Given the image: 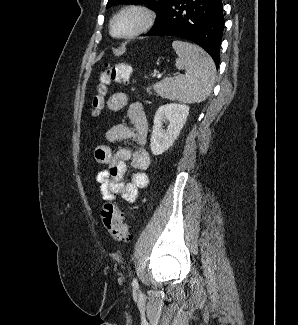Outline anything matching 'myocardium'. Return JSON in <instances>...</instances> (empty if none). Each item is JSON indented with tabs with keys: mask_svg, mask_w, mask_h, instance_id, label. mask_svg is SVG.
<instances>
[{
	"mask_svg": "<svg viewBox=\"0 0 298 325\" xmlns=\"http://www.w3.org/2000/svg\"><path fill=\"white\" fill-rule=\"evenodd\" d=\"M125 18H132L135 21L134 29L128 34H117L116 26L117 24ZM149 17L148 15L141 9L138 8H129L121 11L116 15L114 21L111 25V35L122 41H131L135 39L137 36L142 34L147 27L149 26Z\"/></svg>",
	"mask_w": 298,
	"mask_h": 325,
	"instance_id": "f54148a6",
	"label": "myocardium"
}]
</instances>
